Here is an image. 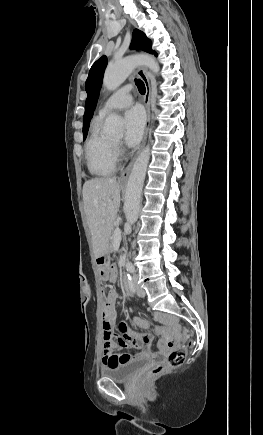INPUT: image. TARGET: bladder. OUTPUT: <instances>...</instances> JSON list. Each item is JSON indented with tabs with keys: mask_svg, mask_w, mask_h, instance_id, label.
Returning <instances> with one entry per match:
<instances>
[{
	"mask_svg": "<svg viewBox=\"0 0 263 435\" xmlns=\"http://www.w3.org/2000/svg\"><path fill=\"white\" fill-rule=\"evenodd\" d=\"M146 358H134L115 366H103L100 373L103 377L112 379L117 382H126L130 380L145 364Z\"/></svg>",
	"mask_w": 263,
	"mask_h": 435,
	"instance_id": "bladder-1",
	"label": "bladder"
}]
</instances>
